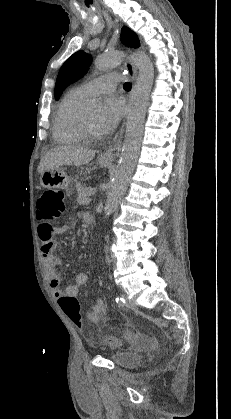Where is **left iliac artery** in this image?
Listing matches in <instances>:
<instances>
[{
  "mask_svg": "<svg viewBox=\"0 0 231 419\" xmlns=\"http://www.w3.org/2000/svg\"><path fill=\"white\" fill-rule=\"evenodd\" d=\"M115 300H116V303H117L119 306H123V305L125 304V299H124L123 297H119V296H117Z\"/></svg>",
  "mask_w": 231,
  "mask_h": 419,
  "instance_id": "44dca946",
  "label": "left iliac artery"
}]
</instances>
